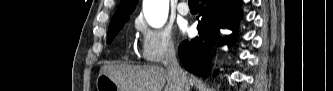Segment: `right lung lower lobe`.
<instances>
[{"label": "right lung lower lobe", "instance_id": "obj_1", "mask_svg": "<svg viewBox=\"0 0 333 91\" xmlns=\"http://www.w3.org/2000/svg\"><path fill=\"white\" fill-rule=\"evenodd\" d=\"M240 4L241 0H201L197 17L200 18L197 25L199 36L182 42L178 48L179 58L186 70L195 75L207 76L208 47L214 43L221 27L235 28ZM232 39L233 37L229 36L221 42L230 43Z\"/></svg>", "mask_w": 333, "mask_h": 91}]
</instances>
